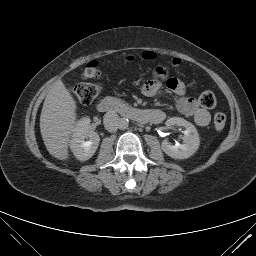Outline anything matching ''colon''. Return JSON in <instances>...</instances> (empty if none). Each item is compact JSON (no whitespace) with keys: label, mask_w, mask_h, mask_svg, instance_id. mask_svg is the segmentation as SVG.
Masks as SVG:
<instances>
[{"label":"colon","mask_w":256,"mask_h":256,"mask_svg":"<svg viewBox=\"0 0 256 256\" xmlns=\"http://www.w3.org/2000/svg\"><path fill=\"white\" fill-rule=\"evenodd\" d=\"M144 59L154 58V54L147 52L143 55ZM132 58H129L131 60ZM174 65H178L179 61L174 60ZM101 75L97 61H90L86 64L81 73L83 80L98 79ZM101 88L99 85L90 82H80L73 86L72 92L76 98L84 105L92 103L100 94ZM200 105L206 109H211L216 106V96L211 91H204L201 93L198 99ZM214 126L217 130H222L226 125V116L222 112H218L214 115Z\"/></svg>","instance_id":"5ec220e1"}]
</instances>
